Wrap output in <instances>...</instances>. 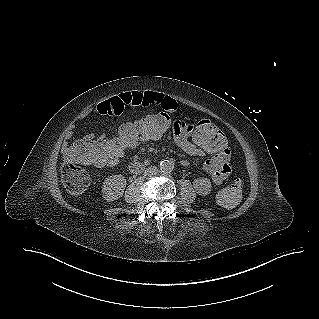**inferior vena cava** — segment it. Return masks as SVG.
<instances>
[{
    "mask_svg": "<svg viewBox=\"0 0 319 319\" xmlns=\"http://www.w3.org/2000/svg\"><path fill=\"white\" fill-rule=\"evenodd\" d=\"M150 170L154 171V173H156L158 170L154 167V168H150Z\"/></svg>",
    "mask_w": 319,
    "mask_h": 319,
    "instance_id": "obj_1",
    "label": "inferior vena cava"
}]
</instances>
